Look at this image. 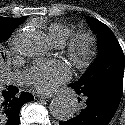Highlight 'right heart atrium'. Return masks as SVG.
<instances>
[{
  "label": "right heart atrium",
  "instance_id": "d8ad5b80",
  "mask_svg": "<svg viewBox=\"0 0 125 125\" xmlns=\"http://www.w3.org/2000/svg\"><path fill=\"white\" fill-rule=\"evenodd\" d=\"M15 39H16V38H13V40H12V42H11V44H12V46H13V47H12L13 50H15V47H14Z\"/></svg>",
  "mask_w": 125,
  "mask_h": 125
}]
</instances>
